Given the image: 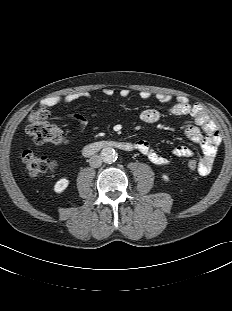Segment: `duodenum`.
I'll return each mask as SVG.
<instances>
[{
    "mask_svg": "<svg viewBox=\"0 0 232 311\" xmlns=\"http://www.w3.org/2000/svg\"><path fill=\"white\" fill-rule=\"evenodd\" d=\"M106 148H114L121 151L131 152L135 149V145L129 142H123V141H117V140H100L97 142H93L90 144H87L83 148V154L85 156H91L98 151Z\"/></svg>",
    "mask_w": 232,
    "mask_h": 311,
    "instance_id": "duodenum-1",
    "label": "duodenum"
}]
</instances>
